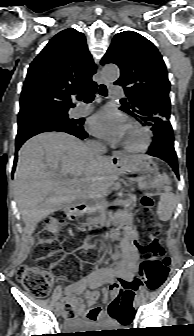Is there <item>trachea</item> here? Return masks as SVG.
I'll list each match as a JSON object with an SVG mask.
<instances>
[{"mask_svg":"<svg viewBox=\"0 0 194 336\" xmlns=\"http://www.w3.org/2000/svg\"><path fill=\"white\" fill-rule=\"evenodd\" d=\"M99 93L102 96L107 95V88L105 85H100ZM77 98L78 100H83L84 102H92V100L94 99V94L92 92H87L79 95Z\"/></svg>","mask_w":194,"mask_h":336,"instance_id":"3493384b","label":"trachea"}]
</instances>
